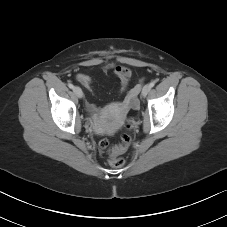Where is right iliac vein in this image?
Returning a JSON list of instances; mask_svg holds the SVG:
<instances>
[{
    "instance_id": "right-iliac-vein-1",
    "label": "right iliac vein",
    "mask_w": 227,
    "mask_h": 227,
    "mask_svg": "<svg viewBox=\"0 0 227 227\" xmlns=\"http://www.w3.org/2000/svg\"><path fill=\"white\" fill-rule=\"evenodd\" d=\"M73 91H74V93H75V95L78 97V98H82L83 97V92H82V90H81V88L80 87H74L73 88Z\"/></svg>"
}]
</instances>
